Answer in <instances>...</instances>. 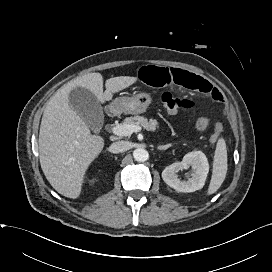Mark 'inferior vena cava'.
Masks as SVG:
<instances>
[{
  "instance_id": "1",
  "label": "inferior vena cava",
  "mask_w": 272,
  "mask_h": 272,
  "mask_svg": "<svg viewBox=\"0 0 272 272\" xmlns=\"http://www.w3.org/2000/svg\"><path fill=\"white\" fill-rule=\"evenodd\" d=\"M131 148V143L128 141H117L111 144V146L109 147V150L112 153H122L125 152L127 150H129Z\"/></svg>"
}]
</instances>
